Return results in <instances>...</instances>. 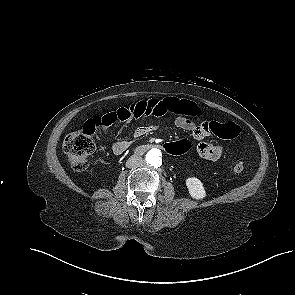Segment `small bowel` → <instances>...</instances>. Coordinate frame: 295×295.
<instances>
[{
  "label": "small bowel",
  "instance_id": "c3829d8e",
  "mask_svg": "<svg viewBox=\"0 0 295 295\" xmlns=\"http://www.w3.org/2000/svg\"><path fill=\"white\" fill-rule=\"evenodd\" d=\"M179 102L180 100L177 98L141 99L101 116L102 124L100 127L103 132L108 133L112 128H117L134 119L144 116L162 117L174 113L176 114V126L191 132L196 140L201 141L197 146L199 156L207 161L218 160L223 153L222 146L204 141L211 133L210 123L206 121L196 122L180 114L177 109ZM157 127V124L139 126L134 130L133 137L141 138L156 130ZM130 145L131 140L129 138L118 137L112 144V151L116 155H121L128 150Z\"/></svg>",
  "mask_w": 295,
  "mask_h": 295
}]
</instances>
